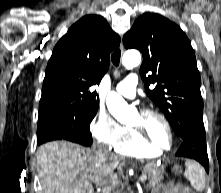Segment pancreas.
<instances>
[{"label":"pancreas","instance_id":"pancreas-1","mask_svg":"<svg viewBox=\"0 0 221 193\" xmlns=\"http://www.w3.org/2000/svg\"><path fill=\"white\" fill-rule=\"evenodd\" d=\"M163 167H157L155 165L145 166L142 173L146 176L147 187L153 188L155 185L159 184L163 179Z\"/></svg>","mask_w":221,"mask_h":193}]
</instances>
